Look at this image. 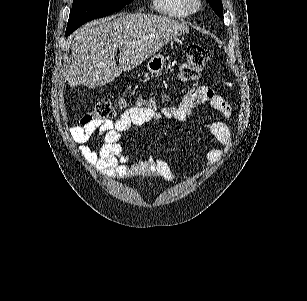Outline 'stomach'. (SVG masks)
<instances>
[{"label": "stomach", "mask_w": 307, "mask_h": 301, "mask_svg": "<svg viewBox=\"0 0 307 301\" xmlns=\"http://www.w3.org/2000/svg\"><path fill=\"white\" fill-rule=\"evenodd\" d=\"M165 62L166 60L163 54H153L148 62H146L147 70H149L151 74H160L165 66Z\"/></svg>", "instance_id": "stomach-1"}]
</instances>
